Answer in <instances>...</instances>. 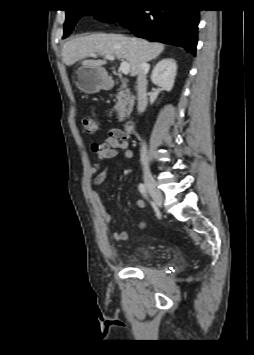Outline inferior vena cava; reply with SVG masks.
Here are the masks:
<instances>
[{
	"label": "inferior vena cava",
	"instance_id": "602c4592",
	"mask_svg": "<svg viewBox=\"0 0 254 355\" xmlns=\"http://www.w3.org/2000/svg\"><path fill=\"white\" fill-rule=\"evenodd\" d=\"M147 72H148V65L146 63H143L139 69L137 82H136L137 84L136 90H137V97H138L137 109L139 113L144 112L147 106V93H146ZM140 157H141V164L143 165V167L148 168L147 147L145 143H143L141 146Z\"/></svg>",
	"mask_w": 254,
	"mask_h": 355
}]
</instances>
